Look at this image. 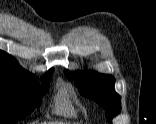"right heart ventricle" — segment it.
<instances>
[{"label": "right heart ventricle", "instance_id": "right-heart-ventricle-1", "mask_svg": "<svg viewBox=\"0 0 156 124\" xmlns=\"http://www.w3.org/2000/svg\"><path fill=\"white\" fill-rule=\"evenodd\" d=\"M54 112L64 117L76 115L75 106L65 86L60 87L55 96Z\"/></svg>", "mask_w": 156, "mask_h": 124}]
</instances>
